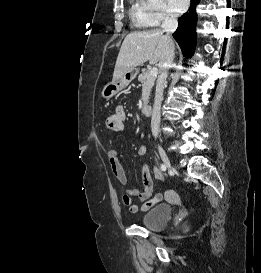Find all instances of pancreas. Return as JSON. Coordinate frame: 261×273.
Listing matches in <instances>:
<instances>
[{
	"label": "pancreas",
	"instance_id": "1",
	"mask_svg": "<svg viewBox=\"0 0 261 273\" xmlns=\"http://www.w3.org/2000/svg\"><path fill=\"white\" fill-rule=\"evenodd\" d=\"M156 80V76L150 75L149 71H143L138 76V81L142 84V101L144 104L148 103L149 95L152 87L154 86V82Z\"/></svg>",
	"mask_w": 261,
	"mask_h": 273
}]
</instances>
